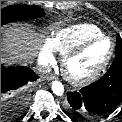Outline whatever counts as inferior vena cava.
Listing matches in <instances>:
<instances>
[{
  "label": "inferior vena cava",
  "mask_w": 122,
  "mask_h": 122,
  "mask_svg": "<svg viewBox=\"0 0 122 122\" xmlns=\"http://www.w3.org/2000/svg\"><path fill=\"white\" fill-rule=\"evenodd\" d=\"M36 69L40 73H50L51 72V67L48 64H37Z\"/></svg>",
  "instance_id": "obj_1"
}]
</instances>
